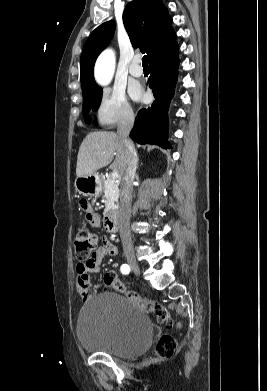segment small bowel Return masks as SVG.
Returning <instances> with one entry per match:
<instances>
[{"label":"small bowel","mask_w":267,"mask_h":391,"mask_svg":"<svg viewBox=\"0 0 267 391\" xmlns=\"http://www.w3.org/2000/svg\"><path fill=\"white\" fill-rule=\"evenodd\" d=\"M79 207L82 211L86 213V220L92 226L100 225V217L94 211L92 205L87 201L82 199L79 202ZM118 252L117 247L110 242L109 240H104L102 247L94 252L89 261L78 263L76 265V286L77 292L84 299H89L93 294H95L100 286L103 288L110 287L107 283L106 277L107 273L104 275L102 283L93 284L89 281V275L92 273H97L100 270L101 262L106 256H114Z\"/></svg>","instance_id":"small-bowel-1"}]
</instances>
